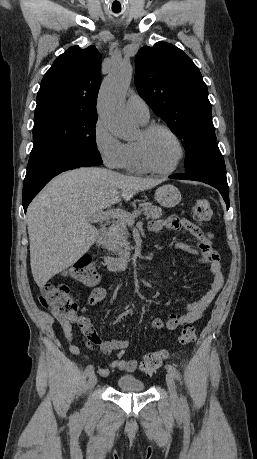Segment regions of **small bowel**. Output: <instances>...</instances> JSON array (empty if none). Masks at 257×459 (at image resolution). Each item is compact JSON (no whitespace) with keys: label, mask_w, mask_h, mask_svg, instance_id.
Returning a JSON list of instances; mask_svg holds the SVG:
<instances>
[{"label":"small bowel","mask_w":257,"mask_h":459,"mask_svg":"<svg viewBox=\"0 0 257 459\" xmlns=\"http://www.w3.org/2000/svg\"><path fill=\"white\" fill-rule=\"evenodd\" d=\"M161 229H182L187 231L194 238L198 239V245L196 248L181 242L177 243L175 247L189 254L199 256L200 261L208 265L212 278L210 287L206 293L198 301L188 303L184 314H170L165 324L160 318H155L151 322V328L154 330L162 329L164 326H166L169 330H175L180 326L192 324L201 318L203 312L209 307L218 292L221 290L224 284V277L219 254L208 240L201 237L198 228L188 219L176 218L173 214L166 220H160L158 217H153L149 223V230L151 232H157ZM105 297L106 290L103 287H94L88 295L86 306L81 309V314L78 316L76 315L71 320H62L60 322L64 335L69 343V351L77 356L81 354L80 348L76 344L72 343V324L76 323L85 337V345L87 347L92 349L95 346H99L102 353L106 355L116 351V358L110 362V368L117 367L122 371L133 372L138 366V361L135 359H125L126 348L128 347L129 342L123 339L103 341L89 318L85 316L88 306H92L103 301ZM98 373L101 376L106 377L109 375L110 369L99 368Z\"/></svg>","instance_id":"c3829d8e"}]
</instances>
